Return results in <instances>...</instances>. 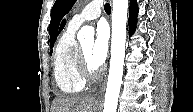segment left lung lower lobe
Returning <instances> with one entry per match:
<instances>
[{
  "instance_id": "obj_1",
  "label": "left lung lower lobe",
  "mask_w": 193,
  "mask_h": 112,
  "mask_svg": "<svg viewBox=\"0 0 193 112\" xmlns=\"http://www.w3.org/2000/svg\"><path fill=\"white\" fill-rule=\"evenodd\" d=\"M138 6L136 0H130L129 34L132 35L137 21Z\"/></svg>"
}]
</instances>
